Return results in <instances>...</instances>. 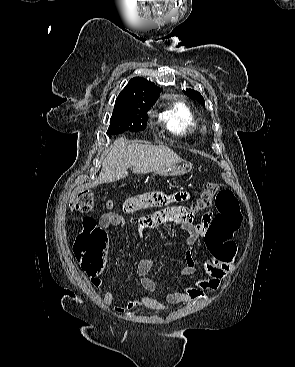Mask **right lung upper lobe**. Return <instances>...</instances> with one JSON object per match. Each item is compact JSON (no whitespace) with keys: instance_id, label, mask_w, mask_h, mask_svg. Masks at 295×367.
Returning a JSON list of instances; mask_svg holds the SVG:
<instances>
[{"instance_id":"1","label":"right lung upper lobe","mask_w":295,"mask_h":367,"mask_svg":"<svg viewBox=\"0 0 295 367\" xmlns=\"http://www.w3.org/2000/svg\"><path fill=\"white\" fill-rule=\"evenodd\" d=\"M161 89L142 77H134L118 95L115 108H123L133 103H155Z\"/></svg>"}]
</instances>
